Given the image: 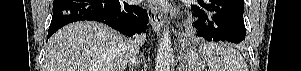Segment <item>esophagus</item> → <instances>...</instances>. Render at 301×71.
I'll return each mask as SVG.
<instances>
[{"instance_id":"esophagus-1","label":"esophagus","mask_w":301,"mask_h":71,"mask_svg":"<svg viewBox=\"0 0 301 71\" xmlns=\"http://www.w3.org/2000/svg\"><path fill=\"white\" fill-rule=\"evenodd\" d=\"M148 18L153 30L159 34L161 27L163 26V21L161 15L156 7L153 5L148 6Z\"/></svg>"}]
</instances>
